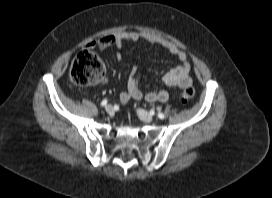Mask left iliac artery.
Listing matches in <instances>:
<instances>
[{
	"label": "left iliac artery",
	"mask_w": 272,
	"mask_h": 198,
	"mask_svg": "<svg viewBox=\"0 0 272 198\" xmlns=\"http://www.w3.org/2000/svg\"><path fill=\"white\" fill-rule=\"evenodd\" d=\"M158 117H159L160 119H164L165 116H164L163 113L159 112V113H158Z\"/></svg>",
	"instance_id": "obj_1"
}]
</instances>
